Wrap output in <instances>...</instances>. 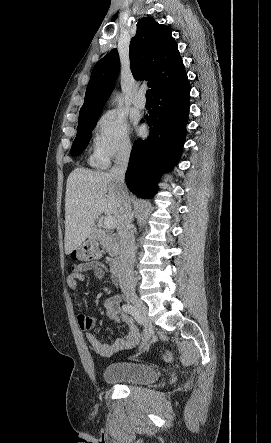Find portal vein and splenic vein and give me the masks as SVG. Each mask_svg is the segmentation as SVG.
<instances>
[{"instance_id":"portal-vein-and-splenic-vein-1","label":"portal vein and splenic vein","mask_w":271,"mask_h":443,"mask_svg":"<svg viewBox=\"0 0 271 443\" xmlns=\"http://www.w3.org/2000/svg\"><path fill=\"white\" fill-rule=\"evenodd\" d=\"M105 227H116L117 220L114 218V216H107L104 220Z\"/></svg>"}]
</instances>
